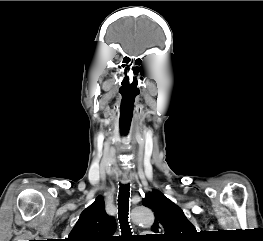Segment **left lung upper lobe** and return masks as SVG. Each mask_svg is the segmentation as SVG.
Masks as SVG:
<instances>
[{
    "instance_id": "5c2ea615",
    "label": "left lung upper lobe",
    "mask_w": 263,
    "mask_h": 241,
    "mask_svg": "<svg viewBox=\"0 0 263 241\" xmlns=\"http://www.w3.org/2000/svg\"><path fill=\"white\" fill-rule=\"evenodd\" d=\"M143 205L153 210L155 222L149 235L153 241H195L197 231L183 211L160 191L143 198Z\"/></svg>"
}]
</instances>
